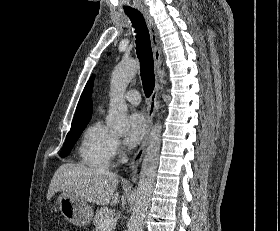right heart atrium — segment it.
<instances>
[{"label": "right heart atrium", "instance_id": "right-heart-atrium-1", "mask_svg": "<svg viewBox=\"0 0 280 231\" xmlns=\"http://www.w3.org/2000/svg\"><path fill=\"white\" fill-rule=\"evenodd\" d=\"M112 157H116L121 153V144L118 139L113 138L111 142Z\"/></svg>", "mask_w": 280, "mask_h": 231}]
</instances>
